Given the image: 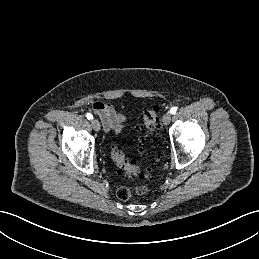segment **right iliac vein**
Listing matches in <instances>:
<instances>
[{
	"instance_id": "right-iliac-vein-1",
	"label": "right iliac vein",
	"mask_w": 259,
	"mask_h": 259,
	"mask_svg": "<svg viewBox=\"0 0 259 259\" xmlns=\"http://www.w3.org/2000/svg\"><path fill=\"white\" fill-rule=\"evenodd\" d=\"M92 127H93V129L95 130V131H100V123H99V121L98 120H96V119H93L92 120Z\"/></svg>"
}]
</instances>
